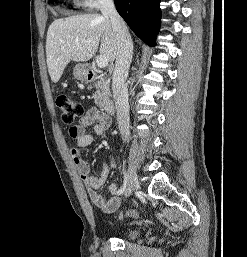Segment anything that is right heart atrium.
I'll use <instances>...</instances> for the list:
<instances>
[{"instance_id": "obj_1", "label": "right heart atrium", "mask_w": 247, "mask_h": 257, "mask_svg": "<svg viewBox=\"0 0 247 257\" xmlns=\"http://www.w3.org/2000/svg\"><path fill=\"white\" fill-rule=\"evenodd\" d=\"M81 7L92 10L99 7L105 0H74Z\"/></svg>"}]
</instances>
